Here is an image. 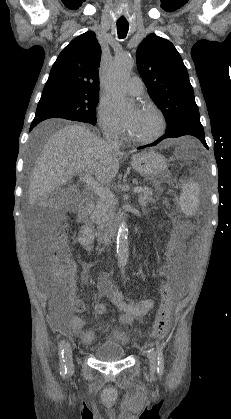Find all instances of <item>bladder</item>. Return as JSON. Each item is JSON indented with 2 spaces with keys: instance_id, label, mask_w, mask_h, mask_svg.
Wrapping results in <instances>:
<instances>
[{
  "instance_id": "bladder-1",
  "label": "bladder",
  "mask_w": 231,
  "mask_h": 419,
  "mask_svg": "<svg viewBox=\"0 0 231 419\" xmlns=\"http://www.w3.org/2000/svg\"><path fill=\"white\" fill-rule=\"evenodd\" d=\"M126 356V348L116 340L103 341L94 352L97 360L105 362L120 361Z\"/></svg>"
}]
</instances>
